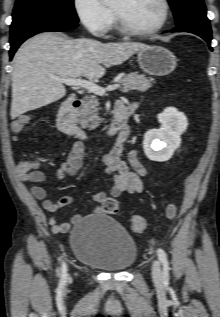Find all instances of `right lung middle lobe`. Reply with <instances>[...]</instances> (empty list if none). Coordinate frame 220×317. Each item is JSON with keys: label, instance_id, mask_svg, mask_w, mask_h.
<instances>
[{"label": "right lung middle lobe", "instance_id": "1", "mask_svg": "<svg viewBox=\"0 0 220 317\" xmlns=\"http://www.w3.org/2000/svg\"><path fill=\"white\" fill-rule=\"evenodd\" d=\"M12 16L11 28H15L24 21L42 17H56L78 22L73 0H17Z\"/></svg>", "mask_w": 220, "mask_h": 317}]
</instances>
